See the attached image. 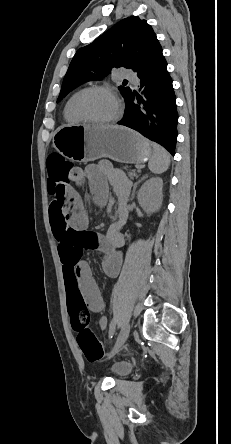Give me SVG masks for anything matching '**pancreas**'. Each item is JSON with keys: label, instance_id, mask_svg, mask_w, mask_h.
Here are the masks:
<instances>
[{"label": "pancreas", "instance_id": "pancreas-1", "mask_svg": "<svg viewBox=\"0 0 231 444\" xmlns=\"http://www.w3.org/2000/svg\"><path fill=\"white\" fill-rule=\"evenodd\" d=\"M122 169L127 172L128 176L130 178H134V177L137 178L138 177L136 171L134 169H130L129 166H124V167H122Z\"/></svg>", "mask_w": 231, "mask_h": 444}]
</instances>
